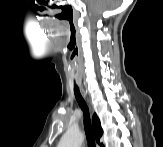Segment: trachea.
<instances>
[{"label": "trachea", "instance_id": "trachea-1", "mask_svg": "<svg viewBox=\"0 0 163 147\" xmlns=\"http://www.w3.org/2000/svg\"><path fill=\"white\" fill-rule=\"evenodd\" d=\"M74 94H75L77 102L84 114V129H85V134H86V138L88 141V145H89V147H95L96 144H95V139H94V135H93V129H92V125H91L89 109H88V106H87L86 102L84 101L83 97L81 96L79 88L76 84L74 85Z\"/></svg>", "mask_w": 163, "mask_h": 147}]
</instances>
